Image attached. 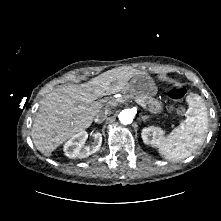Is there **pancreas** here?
Returning a JSON list of instances; mask_svg holds the SVG:
<instances>
[{"mask_svg": "<svg viewBox=\"0 0 221 221\" xmlns=\"http://www.w3.org/2000/svg\"><path fill=\"white\" fill-rule=\"evenodd\" d=\"M125 98L141 100L148 106V110L153 114H157L162 111V103L149 95H127Z\"/></svg>", "mask_w": 221, "mask_h": 221, "instance_id": "pancreas-1", "label": "pancreas"}]
</instances>
